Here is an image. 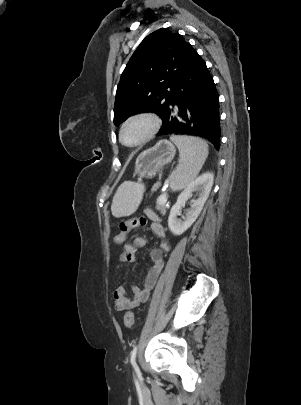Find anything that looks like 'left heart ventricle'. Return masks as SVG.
Returning <instances> with one entry per match:
<instances>
[{
  "instance_id": "b2bd125f",
  "label": "left heart ventricle",
  "mask_w": 301,
  "mask_h": 405,
  "mask_svg": "<svg viewBox=\"0 0 301 405\" xmlns=\"http://www.w3.org/2000/svg\"><path fill=\"white\" fill-rule=\"evenodd\" d=\"M148 123L145 121H135L130 123L123 132V141L127 144L138 142L147 132Z\"/></svg>"
}]
</instances>
